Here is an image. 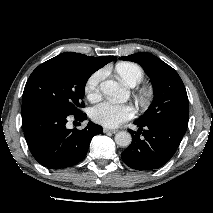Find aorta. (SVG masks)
I'll list each match as a JSON object with an SVG mask.
<instances>
[{
    "instance_id": "1",
    "label": "aorta",
    "mask_w": 213,
    "mask_h": 213,
    "mask_svg": "<svg viewBox=\"0 0 213 213\" xmlns=\"http://www.w3.org/2000/svg\"><path fill=\"white\" fill-rule=\"evenodd\" d=\"M100 89L104 95L113 100H122L126 97V90L114 80H106L100 84ZM115 142L120 147H128L132 142L131 134L120 131L115 135Z\"/></svg>"
}]
</instances>
